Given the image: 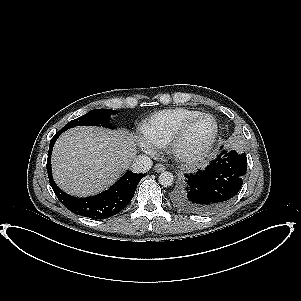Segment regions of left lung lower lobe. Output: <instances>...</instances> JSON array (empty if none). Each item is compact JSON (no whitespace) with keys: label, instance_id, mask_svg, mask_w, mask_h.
<instances>
[{"label":"left lung lower lobe","instance_id":"left-lung-lower-lobe-1","mask_svg":"<svg viewBox=\"0 0 301 301\" xmlns=\"http://www.w3.org/2000/svg\"><path fill=\"white\" fill-rule=\"evenodd\" d=\"M223 146H221V149ZM247 170L246 155L222 152L203 171L185 175L174 204L194 214H210L229 204L238 194Z\"/></svg>","mask_w":301,"mask_h":301}]
</instances>
